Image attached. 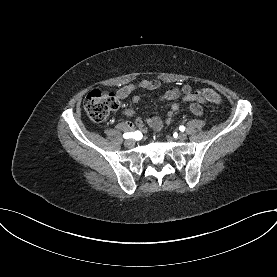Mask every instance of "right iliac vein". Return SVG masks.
<instances>
[{"label": "right iliac vein", "mask_w": 277, "mask_h": 277, "mask_svg": "<svg viewBox=\"0 0 277 277\" xmlns=\"http://www.w3.org/2000/svg\"><path fill=\"white\" fill-rule=\"evenodd\" d=\"M124 145L128 148H132L135 145V141L133 139H128L124 142Z\"/></svg>", "instance_id": "63e3f726"}]
</instances>
